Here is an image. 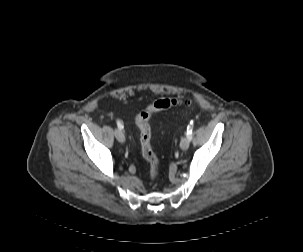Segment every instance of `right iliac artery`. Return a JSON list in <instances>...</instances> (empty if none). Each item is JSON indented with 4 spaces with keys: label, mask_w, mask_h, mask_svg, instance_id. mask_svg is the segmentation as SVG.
<instances>
[{
    "label": "right iliac artery",
    "mask_w": 303,
    "mask_h": 252,
    "mask_svg": "<svg viewBox=\"0 0 303 252\" xmlns=\"http://www.w3.org/2000/svg\"><path fill=\"white\" fill-rule=\"evenodd\" d=\"M117 126L120 130H122L124 127L121 121H117Z\"/></svg>",
    "instance_id": "obj_1"
}]
</instances>
